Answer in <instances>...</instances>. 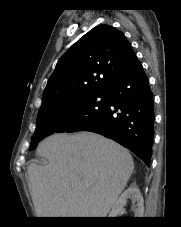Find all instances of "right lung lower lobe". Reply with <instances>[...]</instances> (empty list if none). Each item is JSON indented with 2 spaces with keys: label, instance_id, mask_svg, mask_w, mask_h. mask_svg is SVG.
Segmentation results:
<instances>
[{
  "label": "right lung lower lobe",
  "instance_id": "obj_1",
  "mask_svg": "<svg viewBox=\"0 0 181 227\" xmlns=\"http://www.w3.org/2000/svg\"><path fill=\"white\" fill-rule=\"evenodd\" d=\"M109 104L82 131H92L130 149L147 165L151 161L154 135V101L148 78L137 57L127 71L111 83Z\"/></svg>",
  "mask_w": 181,
  "mask_h": 227
}]
</instances>
